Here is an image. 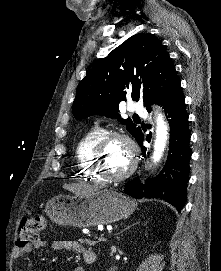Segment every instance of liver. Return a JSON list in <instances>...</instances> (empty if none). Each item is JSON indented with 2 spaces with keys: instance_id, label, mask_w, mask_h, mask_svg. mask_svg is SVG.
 Returning a JSON list of instances; mask_svg holds the SVG:
<instances>
[{
  "instance_id": "1",
  "label": "liver",
  "mask_w": 221,
  "mask_h": 271,
  "mask_svg": "<svg viewBox=\"0 0 221 271\" xmlns=\"http://www.w3.org/2000/svg\"><path fill=\"white\" fill-rule=\"evenodd\" d=\"M72 191H76V189H74V187H72ZM79 191H80V193H86L85 189H82V187H81V189H79Z\"/></svg>"
}]
</instances>
